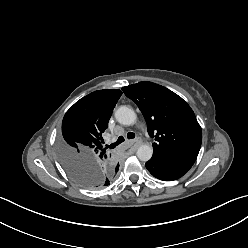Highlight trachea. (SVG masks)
<instances>
[{"label": "trachea", "mask_w": 248, "mask_h": 248, "mask_svg": "<svg viewBox=\"0 0 248 248\" xmlns=\"http://www.w3.org/2000/svg\"><path fill=\"white\" fill-rule=\"evenodd\" d=\"M127 138H128V139H133V138H135V133L129 132V133L127 134ZM124 140H125L124 137L120 136V137L118 138V140H117L115 143L109 145V147H110V148H115L117 145H119V144H121L122 142H124Z\"/></svg>", "instance_id": "3493384b"}]
</instances>
